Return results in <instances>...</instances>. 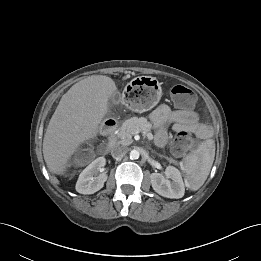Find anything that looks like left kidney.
I'll list each match as a JSON object with an SVG mask.
<instances>
[{"instance_id": "left-kidney-1", "label": "left kidney", "mask_w": 261, "mask_h": 261, "mask_svg": "<svg viewBox=\"0 0 261 261\" xmlns=\"http://www.w3.org/2000/svg\"><path fill=\"white\" fill-rule=\"evenodd\" d=\"M165 176L160 173L151 174V184L154 191L166 198H182L185 186L180 171L173 166H168L165 170Z\"/></svg>"}]
</instances>
